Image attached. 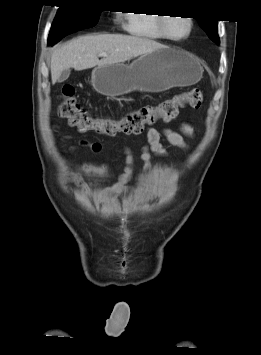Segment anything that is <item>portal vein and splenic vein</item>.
<instances>
[{"label": "portal vein and splenic vein", "instance_id": "1", "mask_svg": "<svg viewBox=\"0 0 261 355\" xmlns=\"http://www.w3.org/2000/svg\"><path fill=\"white\" fill-rule=\"evenodd\" d=\"M100 56H102V57H106V56H107V53L102 52V53L100 54Z\"/></svg>", "mask_w": 261, "mask_h": 355}]
</instances>
